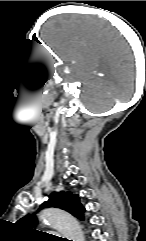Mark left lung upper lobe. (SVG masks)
I'll use <instances>...</instances> for the list:
<instances>
[{
    "label": "left lung upper lobe",
    "mask_w": 146,
    "mask_h": 241,
    "mask_svg": "<svg viewBox=\"0 0 146 241\" xmlns=\"http://www.w3.org/2000/svg\"><path fill=\"white\" fill-rule=\"evenodd\" d=\"M56 207L63 209L73 216L84 220L83 212L85 208L79 202V197L73 195L69 191L54 192L49 196V199L41 204L39 209ZM20 223L24 228L32 230L37 225V219L35 214L27 215L21 218ZM42 233V232H41Z\"/></svg>",
    "instance_id": "1"
}]
</instances>
